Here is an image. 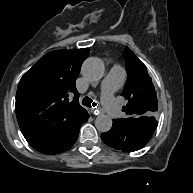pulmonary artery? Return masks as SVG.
Here are the masks:
<instances>
[{
	"label": "pulmonary artery",
	"instance_id": "e3ab8cb5",
	"mask_svg": "<svg viewBox=\"0 0 193 193\" xmlns=\"http://www.w3.org/2000/svg\"><path fill=\"white\" fill-rule=\"evenodd\" d=\"M125 75V70L120 65H113L109 69L106 77L102 82L103 98L102 103L106 106L107 112L111 118L117 119L120 117V110L114 100V94L122 85V80Z\"/></svg>",
	"mask_w": 193,
	"mask_h": 193
}]
</instances>
